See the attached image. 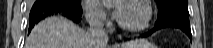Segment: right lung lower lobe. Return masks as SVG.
Returning a JSON list of instances; mask_svg holds the SVG:
<instances>
[{"mask_svg": "<svg viewBox=\"0 0 213 48\" xmlns=\"http://www.w3.org/2000/svg\"><path fill=\"white\" fill-rule=\"evenodd\" d=\"M53 14H61L74 22H79L82 15V7L81 4L72 0H36L30 11L29 32L40 20Z\"/></svg>", "mask_w": 213, "mask_h": 48, "instance_id": "obj_1", "label": "right lung lower lobe"}]
</instances>
